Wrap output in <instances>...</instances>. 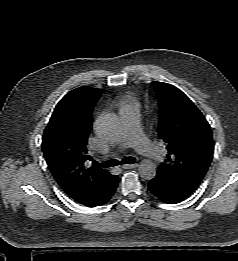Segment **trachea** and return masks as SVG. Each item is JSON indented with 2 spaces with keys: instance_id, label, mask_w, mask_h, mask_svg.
Here are the masks:
<instances>
[{
  "instance_id": "3493384b",
  "label": "trachea",
  "mask_w": 238,
  "mask_h": 261,
  "mask_svg": "<svg viewBox=\"0 0 238 261\" xmlns=\"http://www.w3.org/2000/svg\"><path fill=\"white\" fill-rule=\"evenodd\" d=\"M121 163L122 164H133V163H135V158L134 157H125L122 159ZM119 164H120V162L118 160L111 159V160H108V161L102 163L101 166L105 167V168H109V167L117 166Z\"/></svg>"
}]
</instances>
